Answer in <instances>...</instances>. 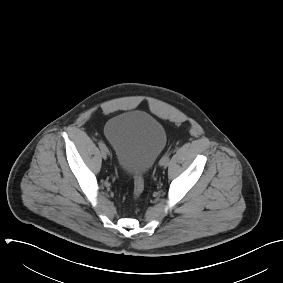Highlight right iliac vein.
<instances>
[{"label": "right iliac vein", "instance_id": "obj_1", "mask_svg": "<svg viewBox=\"0 0 283 283\" xmlns=\"http://www.w3.org/2000/svg\"><path fill=\"white\" fill-rule=\"evenodd\" d=\"M101 156H102V158L103 159H107V156H108V153H107V151H101Z\"/></svg>", "mask_w": 283, "mask_h": 283}]
</instances>
